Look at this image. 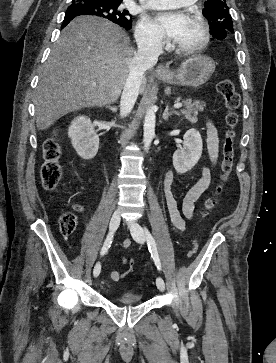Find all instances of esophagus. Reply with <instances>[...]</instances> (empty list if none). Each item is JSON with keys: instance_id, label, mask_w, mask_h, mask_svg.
<instances>
[{"instance_id": "obj_1", "label": "esophagus", "mask_w": 276, "mask_h": 363, "mask_svg": "<svg viewBox=\"0 0 276 363\" xmlns=\"http://www.w3.org/2000/svg\"><path fill=\"white\" fill-rule=\"evenodd\" d=\"M155 72H156L157 74H165V73H167V70H166V68H165L163 65H159V66L156 68Z\"/></svg>"}]
</instances>
